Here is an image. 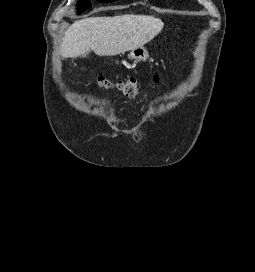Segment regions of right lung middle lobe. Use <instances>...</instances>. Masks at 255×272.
Returning a JSON list of instances; mask_svg holds the SVG:
<instances>
[{
  "label": "right lung middle lobe",
  "mask_w": 255,
  "mask_h": 272,
  "mask_svg": "<svg viewBox=\"0 0 255 272\" xmlns=\"http://www.w3.org/2000/svg\"><path fill=\"white\" fill-rule=\"evenodd\" d=\"M99 1L108 2L113 0H99ZM78 6H79L78 13H82L84 10L90 8L91 4L89 0H80Z\"/></svg>",
  "instance_id": "1"
}]
</instances>
